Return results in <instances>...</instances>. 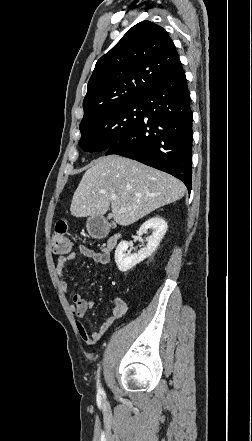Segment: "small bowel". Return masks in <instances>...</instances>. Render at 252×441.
Segmentation results:
<instances>
[{
  "label": "small bowel",
  "instance_id": "obj_1",
  "mask_svg": "<svg viewBox=\"0 0 252 441\" xmlns=\"http://www.w3.org/2000/svg\"><path fill=\"white\" fill-rule=\"evenodd\" d=\"M78 254H81L89 259H92L94 262L101 265H106L110 261V256L108 253L106 252L98 253L84 245H78L77 252L69 253L65 257L61 258L56 265V272L59 275V285L63 292L67 291L68 286H67V282L62 276V271L65 267L66 262L73 261L74 259H76ZM113 304L114 306L111 310L110 315L102 322L99 329L97 331L89 332L86 329V326L83 322V318L87 310L95 306V301L92 299L87 300L79 294H74L72 296V312L76 318V326L80 336L85 341L89 343H94L98 341L106 333V331L113 325L115 321H117L118 319H120L125 315L127 311V304L122 298L115 297L113 299Z\"/></svg>",
  "mask_w": 252,
  "mask_h": 441
}]
</instances>
